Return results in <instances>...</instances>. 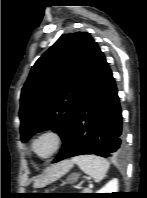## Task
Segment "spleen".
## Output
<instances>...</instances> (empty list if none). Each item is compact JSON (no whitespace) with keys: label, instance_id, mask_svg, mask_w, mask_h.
I'll list each match as a JSON object with an SVG mask.
<instances>
[{"label":"spleen","instance_id":"3e777b00","mask_svg":"<svg viewBox=\"0 0 147 198\" xmlns=\"http://www.w3.org/2000/svg\"><path fill=\"white\" fill-rule=\"evenodd\" d=\"M74 162L86 174L90 175L95 182H100L106 176L110 163L96 155H81L74 158Z\"/></svg>","mask_w":147,"mask_h":198}]
</instances>
